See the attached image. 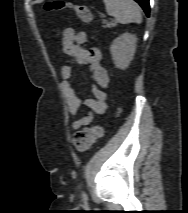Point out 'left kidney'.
<instances>
[{
	"instance_id": "1",
	"label": "left kidney",
	"mask_w": 188,
	"mask_h": 213,
	"mask_svg": "<svg viewBox=\"0 0 188 213\" xmlns=\"http://www.w3.org/2000/svg\"><path fill=\"white\" fill-rule=\"evenodd\" d=\"M136 44V35L130 33H124L114 39L110 52L116 68L124 70L129 66L136 51Z\"/></svg>"
}]
</instances>
